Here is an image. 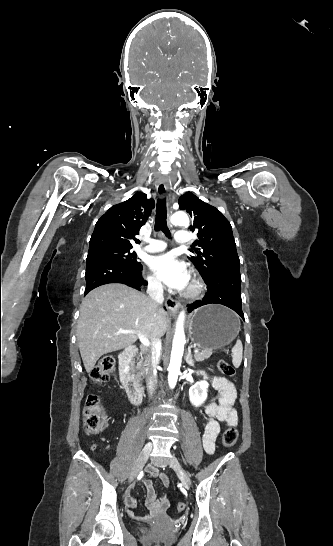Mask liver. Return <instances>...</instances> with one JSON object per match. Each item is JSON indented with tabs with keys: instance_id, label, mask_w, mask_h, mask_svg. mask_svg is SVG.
Here are the masks:
<instances>
[{
	"instance_id": "6515ba94",
	"label": "liver",
	"mask_w": 333,
	"mask_h": 546,
	"mask_svg": "<svg viewBox=\"0 0 333 546\" xmlns=\"http://www.w3.org/2000/svg\"><path fill=\"white\" fill-rule=\"evenodd\" d=\"M166 329V312L143 293L120 283L98 287L80 306L76 336L84 367L90 373L101 356L132 345L138 334L161 338Z\"/></svg>"
}]
</instances>
